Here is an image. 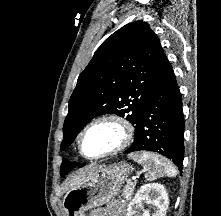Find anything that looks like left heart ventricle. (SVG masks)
Here are the masks:
<instances>
[{"label": "left heart ventricle", "mask_w": 221, "mask_h": 216, "mask_svg": "<svg viewBox=\"0 0 221 216\" xmlns=\"http://www.w3.org/2000/svg\"><path fill=\"white\" fill-rule=\"evenodd\" d=\"M120 135L119 129L111 123L97 124L85 134L83 152L88 156L103 153L118 143Z\"/></svg>", "instance_id": "1"}]
</instances>
